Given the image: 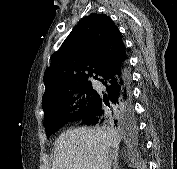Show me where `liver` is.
I'll return each instance as SVG.
<instances>
[{
  "label": "liver",
  "mask_w": 177,
  "mask_h": 169,
  "mask_svg": "<svg viewBox=\"0 0 177 169\" xmlns=\"http://www.w3.org/2000/svg\"><path fill=\"white\" fill-rule=\"evenodd\" d=\"M121 136L112 128H77L62 133L54 144L51 169H111V149Z\"/></svg>",
  "instance_id": "6515ba94"
}]
</instances>
